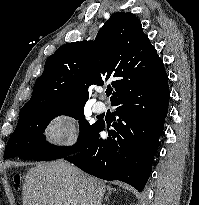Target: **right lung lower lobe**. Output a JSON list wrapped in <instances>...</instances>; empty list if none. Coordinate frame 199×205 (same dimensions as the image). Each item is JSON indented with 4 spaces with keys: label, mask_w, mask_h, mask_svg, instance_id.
I'll use <instances>...</instances> for the list:
<instances>
[{
    "label": "right lung lower lobe",
    "mask_w": 199,
    "mask_h": 205,
    "mask_svg": "<svg viewBox=\"0 0 199 205\" xmlns=\"http://www.w3.org/2000/svg\"><path fill=\"white\" fill-rule=\"evenodd\" d=\"M169 96L165 70L140 78L111 102L118 119L109 137L99 138L105 127L100 123L79 153L64 159L98 178L120 180L142 191L163 132Z\"/></svg>",
    "instance_id": "right-lung-lower-lobe-1"
}]
</instances>
